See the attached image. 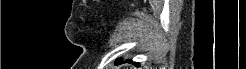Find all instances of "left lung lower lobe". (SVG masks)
<instances>
[{
  "mask_svg": "<svg viewBox=\"0 0 246 69\" xmlns=\"http://www.w3.org/2000/svg\"><path fill=\"white\" fill-rule=\"evenodd\" d=\"M127 62H131V60H126ZM118 63H123V61H118ZM137 66H139V63H136Z\"/></svg>",
  "mask_w": 246,
  "mask_h": 69,
  "instance_id": "left-lung-lower-lobe-1",
  "label": "left lung lower lobe"
}]
</instances>
